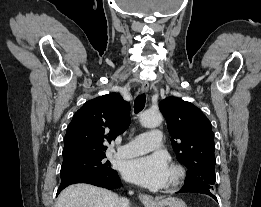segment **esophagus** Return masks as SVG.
<instances>
[{
	"instance_id": "1",
	"label": "esophagus",
	"mask_w": 261,
	"mask_h": 207,
	"mask_svg": "<svg viewBox=\"0 0 261 207\" xmlns=\"http://www.w3.org/2000/svg\"><path fill=\"white\" fill-rule=\"evenodd\" d=\"M148 90H149V82L143 81L141 85V91L147 92ZM139 199L145 206H151L152 204L155 203L154 198L147 194H139Z\"/></svg>"
}]
</instances>
